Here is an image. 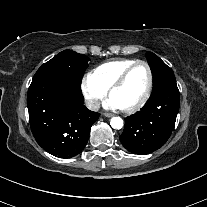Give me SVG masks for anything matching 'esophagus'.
I'll list each match as a JSON object with an SVG mask.
<instances>
[{"label": "esophagus", "instance_id": "34e87169", "mask_svg": "<svg viewBox=\"0 0 207 207\" xmlns=\"http://www.w3.org/2000/svg\"><path fill=\"white\" fill-rule=\"evenodd\" d=\"M104 116H105V117H112L113 114H111V113H104Z\"/></svg>", "mask_w": 207, "mask_h": 207}]
</instances>
